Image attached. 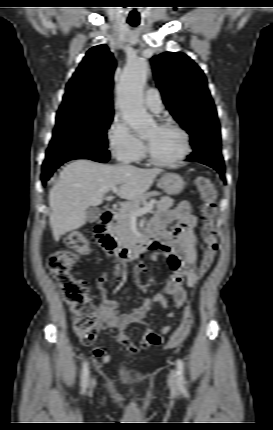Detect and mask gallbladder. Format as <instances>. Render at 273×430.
<instances>
[{
  "label": "gallbladder",
  "mask_w": 273,
  "mask_h": 430,
  "mask_svg": "<svg viewBox=\"0 0 273 430\" xmlns=\"http://www.w3.org/2000/svg\"><path fill=\"white\" fill-rule=\"evenodd\" d=\"M102 211L95 207H89L86 210V217L88 222H94L101 216Z\"/></svg>",
  "instance_id": "1"
}]
</instances>
